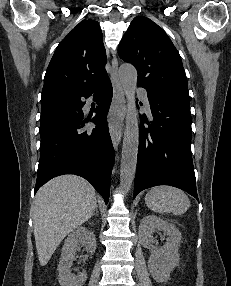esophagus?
Returning <instances> with one entry per match:
<instances>
[{
  "mask_svg": "<svg viewBox=\"0 0 231 286\" xmlns=\"http://www.w3.org/2000/svg\"><path fill=\"white\" fill-rule=\"evenodd\" d=\"M111 80L113 85V109L123 108L125 103L124 92L118 77V61L116 58L112 60ZM122 137L121 124L117 128H111V139L115 149L118 148Z\"/></svg>",
  "mask_w": 231,
  "mask_h": 286,
  "instance_id": "34e87169",
  "label": "esophagus"
}]
</instances>
